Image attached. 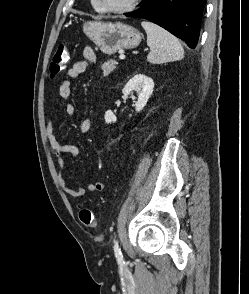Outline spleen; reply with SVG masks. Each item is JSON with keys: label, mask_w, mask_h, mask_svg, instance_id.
Listing matches in <instances>:
<instances>
[{"label": "spleen", "mask_w": 249, "mask_h": 294, "mask_svg": "<svg viewBox=\"0 0 249 294\" xmlns=\"http://www.w3.org/2000/svg\"><path fill=\"white\" fill-rule=\"evenodd\" d=\"M141 25L147 33V45L150 47L147 60L150 63L161 64L184 57L183 47L171 33L149 21H143Z\"/></svg>", "instance_id": "1"}]
</instances>
